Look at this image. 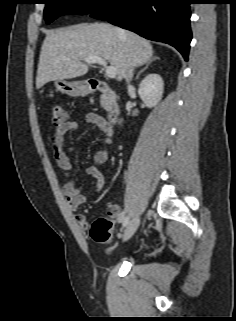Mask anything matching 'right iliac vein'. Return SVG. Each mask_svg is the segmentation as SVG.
Masks as SVG:
<instances>
[{"label": "right iliac vein", "instance_id": "right-iliac-vein-1", "mask_svg": "<svg viewBox=\"0 0 236 321\" xmlns=\"http://www.w3.org/2000/svg\"><path fill=\"white\" fill-rule=\"evenodd\" d=\"M140 223L139 216H135L126 226L124 233H123V241L129 240L134 233L136 232Z\"/></svg>", "mask_w": 236, "mask_h": 321}]
</instances>
